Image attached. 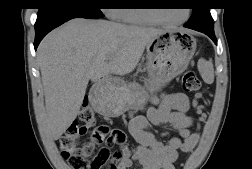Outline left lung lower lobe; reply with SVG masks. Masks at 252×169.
I'll use <instances>...</instances> for the list:
<instances>
[{"label":"left lung lower lobe","mask_w":252,"mask_h":169,"mask_svg":"<svg viewBox=\"0 0 252 169\" xmlns=\"http://www.w3.org/2000/svg\"><path fill=\"white\" fill-rule=\"evenodd\" d=\"M184 26H185V25H184ZM185 27H186V26H185ZM201 32H202V31H201ZM203 33L207 34V35L215 42V44H217V40H216V37H215L214 32L205 31V32H203Z\"/></svg>","instance_id":"0a47b994"}]
</instances>
